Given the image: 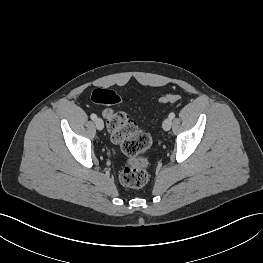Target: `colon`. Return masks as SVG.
<instances>
[{
  "label": "colon",
  "mask_w": 263,
  "mask_h": 263,
  "mask_svg": "<svg viewBox=\"0 0 263 263\" xmlns=\"http://www.w3.org/2000/svg\"><path fill=\"white\" fill-rule=\"evenodd\" d=\"M179 99L180 96L177 94H167L160 98V102L175 103ZM92 101L105 107L103 117L111 140L118 144L121 151L128 157L119 174L121 183L131 188L144 186L148 182L149 174L148 161L143 153L151 144L150 134L139 129L135 121L125 112L114 111L110 108L121 102L114 90L98 88L92 94Z\"/></svg>",
  "instance_id": "5ec220e1"
}]
</instances>
